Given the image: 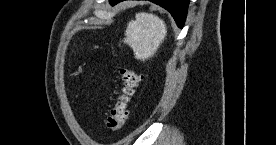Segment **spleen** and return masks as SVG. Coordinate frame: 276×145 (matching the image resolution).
<instances>
[{"mask_svg": "<svg viewBox=\"0 0 276 145\" xmlns=\"http://www.w3.org/2000/svg\"><path fill=\"white\" fill-rule=\"evenodd\" d=\"M167 28L162 19L151 13H138L125 31L124 43L134 52L135 58L145 61L153 57L164 41Z\"/></svg>", "mask_w": 276, "mask_h": 145, "instance_id": "obj_1", "label": "spleen"}]
</instances>
